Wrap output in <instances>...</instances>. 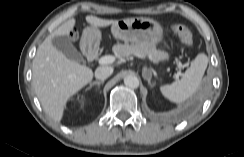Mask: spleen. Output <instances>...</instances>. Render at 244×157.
<instances>
[{"label":"spleen","mask_w":244,"mask_h":157,"mask_svg":"<svg viewBox=\"0 0 244 157\" xmlns=\"http://www.w3.org/2000/svg\"><path fill=\"white\" fill-rule=\"evenodd\" d=\"M208 65V57L199 53L180 80L160 87L162 95L174 103H182L198 89Z\"/></svg>","instance_id":"spleen-1"}]
</instances>
